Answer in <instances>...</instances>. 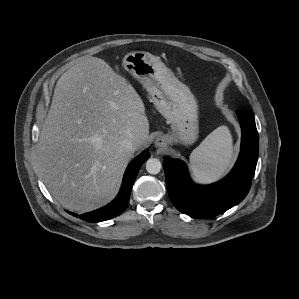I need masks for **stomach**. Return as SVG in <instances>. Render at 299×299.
I'll list each match as a JSON object with an SVG mask.
<instances>
[{"mask_svg": "<svg viewBox=\"0 0 299 299\" xmlns=\"http://www.w3.org/2000/svg\"><path fill=\"white\" fill-rule=\"evenodd\" d=\"M123 67L148 91L156 109L170 122L166 145H191L198 138V105L190 89L157 57L143 51L128 53Z\"/></svg>", "mask_w": 299, "mask_h": 299, "instance_id": "0dacf381", "label": "stomach"}]
</instances>
